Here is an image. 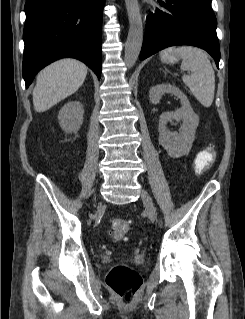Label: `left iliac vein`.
<instances>
[{"label": "left iliac vein", "mask_w": 245, "mask_h": 319, "mask_svg": "<svg viewBox=\"0 0 245 319\" xmlns=\"http://www.w3.org/2000/svg\"><path fill=\"white\" fill-rule=\"evenodd\" d=\"M141 196H142L144 206L148 212L149 219L152 222H155L157 220V211L154 206L152 198L150 197V195L145 189H142Z\"/></svg>", "instance_id": "obj_1"}]
</instances>
